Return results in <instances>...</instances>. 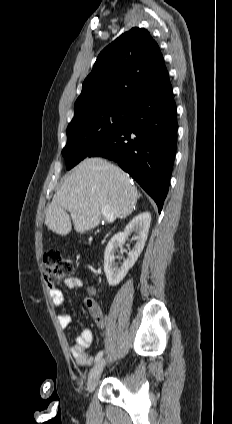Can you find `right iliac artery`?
<instances>
[{"mask_svg": "<svg viewBox=\"0 0 232 424\" xmlns=\"http://www.w3.org/2000/svg\"><path fill=\"white\" fill-rule=\"evenodd\" d=\"M103 356V351L98 352V354L95 357V362H98Z\"/></svg>", "mask_w": 232, "mask_h": 424, "instance_id": "82829eb1", "label": "right iliac artery"}]
</instances>
